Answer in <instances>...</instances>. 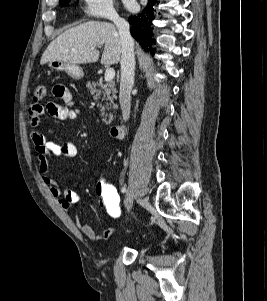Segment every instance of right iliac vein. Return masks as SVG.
Masks as SVG:
<instances>
[{
	"mask_svg": "<svg viewBox=\"0 0 267 301\" xmlns=\"http://www.w3.org/2000/svg\"><path fill=\"white\" fill-rule=\"evenodd\" d=\"M134 200H137V202H140L143 205L146 204V201H141L140 199H137L132 188H129L127 190L125 199V206L128 212L131 210Z\"/></svg>",
	"mask_w": 267,
	"mask_h": 301,
	"instance_id": "63e3f726",
	"label": "right iliac vein"
}]
</instances>
